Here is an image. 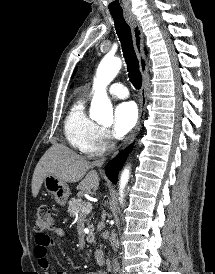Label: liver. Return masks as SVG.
I'll list each match as a JSON object with an SVG mask.
<instances>
[{"mask_svg": "<svg viewBox=\"0 0 215 274\" xmlns=\"http://www.w3.org/2000/svg\"><path fill=\"white\" fill-rule=\"evenodd\" d=\"M93 164L79 156L74 151L62 144H54L39 160L32 178V195L37 197L43 180L48 175H53L59 180L68 183L79 182L78 190L96 191L99 187V176L95 170L86 172ZM85 176V177H84Z\"/></svg>", "mask_w": 215, "mask_h": 274, "instance_id": "6515ba94", "label": "liver"}]
</instances>
